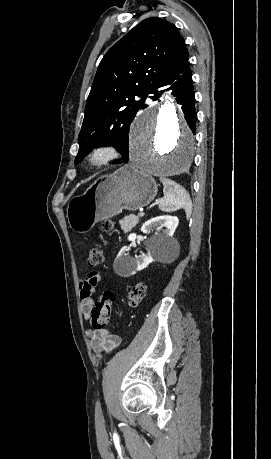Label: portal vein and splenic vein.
I'll use <instances>...</instances> for the list:
<instances>
[{
  "label": "portal vein and splenic vein",
  "mask_w": 271,
  "mask_h": 459,
  "mask_svg": "<svg viewBox=\"0 0 271 459\" xmlns=\"http://www.w3.org/2000/svg\"><path fill=\"white\" fill-rule=\"evenodd\" d=\"M143 214H144L143 211H140V212H139V216H140V217H143V216H144Z\"/></svg>",
  "instance_id": "18ae733b"
}]
</instances>
